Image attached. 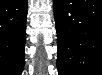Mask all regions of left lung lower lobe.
Returning <instances> with one entry per match:
<instances>
[{
  "label": "left lung lower lobe",
  "instance_id": "obj_1",
  "mask_svg": "<svg viewBox=\"0 0 102 75\" xmlns=\"http://www.w3.org/2000/svg\"><path fill=\"white\" fill-rule=\"evenodd\" d=\"M60 75H99L102 72L101 2L55 1Z\"/></svg>",
  "mask_w": 102,
  "mask_h": 75
}]
</instances>
